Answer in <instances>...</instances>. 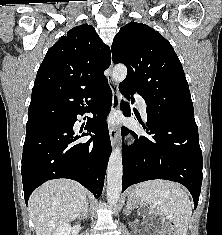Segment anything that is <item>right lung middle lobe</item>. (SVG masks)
Here are the masks:
<instances>
[{
    "label": "right lung middle lobe",
    "mask_w": 222,
    "mask_h": 235,
    "mask_svg": "<svg viewBox=\"0 0 222 235\" xmlns=\"http://www.w3.org/2000/svg\"><path fill=\"white\" fill-rule=\"evenodd\" d=\"M54 123L51 119L38 120V121H28L26 124V133H30L34 130H37L41 127Z\"/></svg>",
    "instance_id": "dd1d6c3e"
}]
</instances>
